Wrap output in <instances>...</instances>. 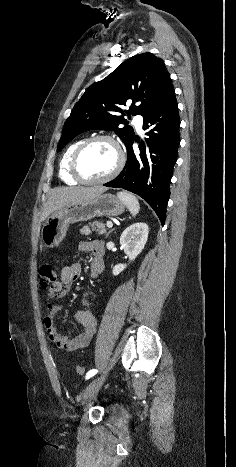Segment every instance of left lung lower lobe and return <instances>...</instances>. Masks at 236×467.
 Returning a JSON list of instances; mask_svg holds the SVG:
<instances>
[{
  "label": "left lung lower lobe",
  "instance_id": "left-lung-lower-lobe-1",
  "mask_svg": "<svg viewBox=\"0 0 236 467\" xmlns=\"http://www.w3.org/2000/svg\"><path fill=\"white\" fill-rule=\"evenodd\" d=\"M145 142L140 154L132 149L133 139L126 145L128 159L123 171L107 187L123 188L142 197L165 223L166 205L170 197V180L180 143L178 104L172 86L144 116Z\"/></svg>",
  "mask_w": 236,
  "mask_h": 467
}]
</instances>
